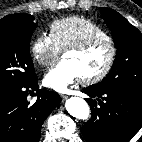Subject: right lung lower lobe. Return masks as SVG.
I'll use <instances>...</instances> for the list:
<instances>
[{
    "label": "right lung lower lobe",
    "instance_id": "1",
    "mask_svg": "<svg viewBox=\"0 0 142 142\" xmlns=\"http://www.w3.org/2000/svg\"><path fill=\"white\" fill-rule=\"evenodd\" d=\"M34 91L37 100L31 105L27 96ZM60 102L56 92L39 89L37 77L0 95V142H39L43 122Z\"/></svg>",
    "mask_w": 142,
    "mask_h": 142
}]
</instances>
